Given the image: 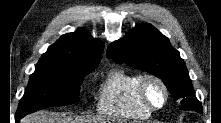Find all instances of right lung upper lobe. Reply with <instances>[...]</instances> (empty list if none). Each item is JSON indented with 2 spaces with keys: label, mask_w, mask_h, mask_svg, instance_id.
Returning a JSON list of instances; mask_svg holds the SVG:
<instances>
[{
  "label": "right lung upper lobe",
  "mask_w": 221,
  "mask_h": 123,
  "mask_svg": "<svg viewBox=\"0 0 221 123\" xmlns=\"http://www.w3.org/2000/svg\"><path fill=\"white\" fill-rule=\"evenodd\" d=\"M103 43L94 39L85 30L61 36L39 62H70L77 65H91L100 61Z\"/></svg>",
  "instance_id": "right-lung-upper-lobe-1"
}]
</instances>
